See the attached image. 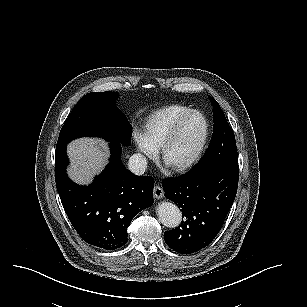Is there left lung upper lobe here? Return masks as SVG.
<instances>
[{
  "label": "left lung upper lobe",
  "instance_id": "obj_1",
  "mask_svg": "<svg viewBox=\"0 0 307 307\" xmlns=\"http://www.w3.org/2000/svg\"><path fill=\"white\" fill-rule=\"evenodd\" d=\"M211 103L214 114L213 135L205 155L195 167L220 165L238 169V154L233 131L218 102L211 98Z\"/></svg>",
  "mask_w": 307,
  "mask_h": 307
}]
</instances>
